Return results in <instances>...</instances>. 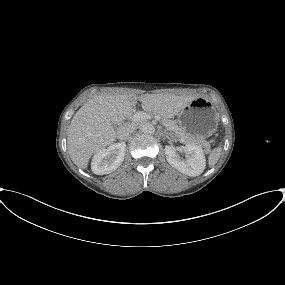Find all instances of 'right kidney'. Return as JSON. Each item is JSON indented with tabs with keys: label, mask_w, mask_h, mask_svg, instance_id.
Masks as SVG:
<instances>
[{
	"label": "right kidney",
	"mask_w": 285,
	"mask_h": 285,
	"mask_svg": "<svg viewBox=\"0 0 285 285\" xmlns=\"http://www.w3.org/2000/svg\"><path fill=\"white\" fill-rule=\"evenodd\" d=\"M126 151L124 142L116 143L98 151L91 163L94 174L104 175L115 171L123 162Z\"/></svg>",
	"instance_id": "right-kidney-1"
}]
</instances>
